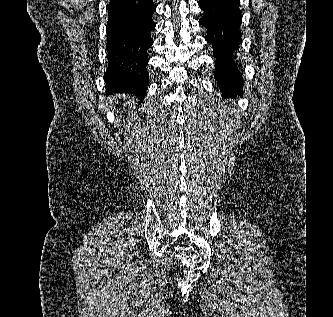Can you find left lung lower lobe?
Masks as SVG:
<instances>
[{"label":"left lung lower lobe","mask_w":333,"mask_h":317,"mask_svg":"<svg viewBox=\"0 0 333 317\" xmlns=\"http://www.w3.org/2000/svg\"><path fill=\"white\" fill-rule=\"evenodd\" d=\"M203 15L199 24L206 28L205 40L213 49L214 77L224 97L233 96L243 87L239 66L234 62L242 41L240 0H199Z\"/></svg>","instance_id":"0a47b994"}]
</instances>
